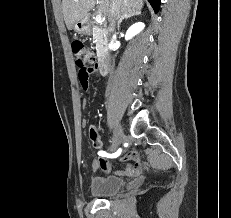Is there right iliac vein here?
I'll list each match as a JSON object with an SVG mask.
<instances>
[{
	"instance_id": "obj_1",
	"label": "right iliac vein",
	"mask_w": 231,
	"mask_h": 218,
	"mask_svg": "<svg viewBox=\"0 0 231 218\" xmlns=\"http://www.w3.org/2000/svg\"><path fill=\"white\" fill-rule=\"evenodd\" d=\"M123 140H124L123 129L121 125L117 124L115 128V136H114L113 143L111 145L110 150L111 151L115 150L121 144Z\"/></svg>"
}]
</instances>
